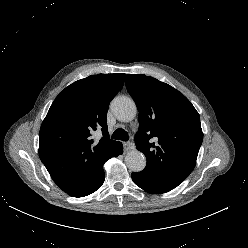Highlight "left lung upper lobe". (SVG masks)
<instances>
[{"instance_id": "left-lung-upper-lobe-1", "label": "left lung upper lobe", "mask_w": 248, "mask_h": 248, "mask_svg": "<svg viewBox=\"0 0 248 248\" xmlns=\"http://www.w3.org/2000/svg\"><path fill=\"white\" fill-rule=\"evenodd\" d=\"M126 88L139 111L138 150L153 183L174 189L195 167L203 141L200 117L172 86L144 74H128Z\"/></svg>"}]
</instances>
